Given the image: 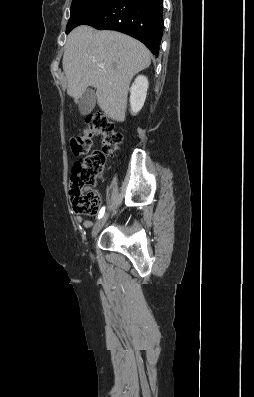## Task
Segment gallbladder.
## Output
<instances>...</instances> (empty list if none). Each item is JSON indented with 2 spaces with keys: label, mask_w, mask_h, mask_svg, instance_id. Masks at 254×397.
I'll return each mask as SVG.
<instances>
[{
  "label": "gallbladder",
  "mask_w": 254,
  "mask_h": 397,
  "mask_svg": "<svg viewBox=\"0 0 254 397\" xmlns=\"http://www.w3.org/2000/svg\"><path fill=\"white\" fill-rule=\"evenodd\" d=\"M96 103V94L93 89L88 88L83 93L80 103H79V111L82 115L89 114Z\"/></svg>",
  "instance_id": "1"
}]
</instances>
